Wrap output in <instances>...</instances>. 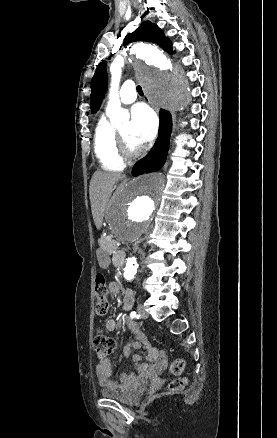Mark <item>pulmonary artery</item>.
I'll return each mask as SVG.
<instances>
[{
	"instance_id": "e3ab8cb5",
	"label": "pulmonary artery",
	"mask_w": 277,
	"mask_h": 438,
	"mask_svg": "<svg viewBox=\"0 0 277 438\" xmlns=\"http://www.w3.org/2000/svg\"><path fill=\"white\" fill-rule=\"evenodd\" d=\"M122 90L121 93L123 96H121L118 99H112L107 104V110H110L117 104H131L135 101V95H136V88L135 83L133 81H124L121 84Z\"/></svg>"
}]
</instances>
